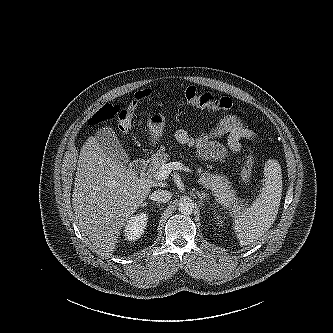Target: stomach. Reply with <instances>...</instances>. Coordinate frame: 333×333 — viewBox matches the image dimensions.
I'll return each instance as SVG.
<instances>
[{
  "label": "stomach",
  "instance_id": "0dacf381",
  "mask_svg": "<svg viewBox=\"0 0 333 333\" xmlns=\"http://www.w3.org/2000/svg\"><path fill=\"white\" fill-rule=\"evenodd\" d=\"M147 126L150 131V141L155 145L163 135L165 117L158 113L148 117Z\"/></svg>",
  "mask_w": 333,
  "mask_h": 333
}]
</instances>
